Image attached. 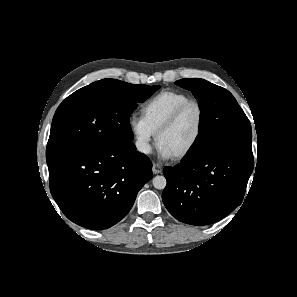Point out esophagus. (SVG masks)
Instances as JSON below:
<instances>
[{"instance_id": "1", "label": "esophagus", "mask_w": 297, "mask_h": 297, "mask_svg": "<svg viewBox=\"0 0 297 297\" xmlns=\"http://www.w3.org/2000/svg\"><path fill=\"white\" fill-rule=\"evenodd\" d=\"M152 171L154 174H159L162 171V166L160 164L154 163L152 167Z\"/></svg>"}]
</instances>
